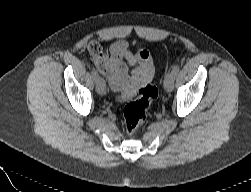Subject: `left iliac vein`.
<instances>
[{"label": "left iliac vein", "mask_w": 251, "mask_h": 192, "mask_svg": "<svg viewBox=\"0 0 251 192\" xmlns=\"http://www.w3.org/2000/svg\"><path fill=\"white\" fill-rule=\"evenodd\" d=\"M174 80H175V76L171 73H168L165 76L164 79V88L167 92H171L173 90L174 87Z\"/></svg>", "instance_id": "4c4485c4"}]
</instances>
